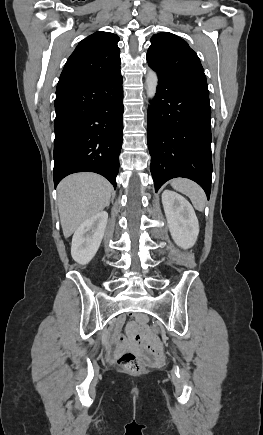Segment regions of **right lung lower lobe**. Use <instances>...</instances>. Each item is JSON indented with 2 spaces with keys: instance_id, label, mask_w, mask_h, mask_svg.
Masks as SVG:
<instances>
[{
  "instance_id": "98d812e1",
  "label": "right lung lower lobe",
  "mask_w": 263,
  "mask_h": 435,
  "mask_svg": "<svg viewBox=\"0 0 263 435\" xmlns=\"http://www.w3.org/2000/svg\"><path fill=\"white\" fill-rule=\"evenodd\" d=\"M120 69L90 82L56 90L54 185L67 175L89 171L116 189L123 132Z\"/></svg>"
}]
</instances>
